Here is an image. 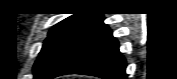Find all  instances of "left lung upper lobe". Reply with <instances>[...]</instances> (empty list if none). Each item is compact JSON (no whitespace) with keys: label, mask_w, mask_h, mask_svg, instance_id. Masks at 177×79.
<instances>
[{"label":"left lung upper lobe","mask_w":177,"mask_h":79,"mask_svg":"<svg viewBox=\"0 0 177 79\" xmlns=\"http://www.w3.org/2000/svg\"><path fill=\"white\" fill-rule=\"evenodd\" d=\"M103 19L101 14H74L55 25L34 64V79H49L74 45Z\"/></svg>","instance_id":"left-lung-upper-lobe-1"}]
</instances>
